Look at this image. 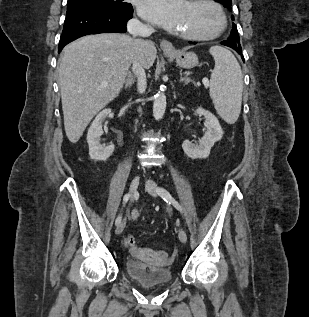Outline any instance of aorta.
<instances>
[{
	"mask_svg": "<svg viewBox=\"0 0 309 317\" xmlns=\"http://www.w3.org/2000/svg\"><path fill=\"white\" fill-rule=\"evenodd\" d=\"M166 110V96L164 92L159 91L154 97L153 116L156 120H161Z\"/></svg>",
	"mask_w": 309,
	"mask_h": 317,
	"instance_id": "1",
	"label": "aorta"
}]
</instances>
